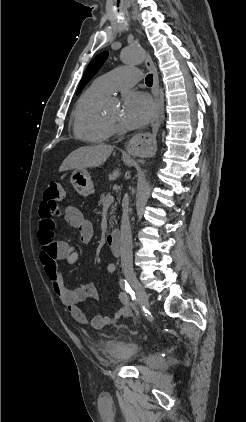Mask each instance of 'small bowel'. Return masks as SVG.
Masks as SVG:
<instances>
[{"instance_id": "obj_1", "label": "small bowel", "mask_w": 246, "mask_h": 422, "mask_svg": "<svg viewBox=\"0 0 246 422\" xmlns=\"http://www.w3.org/2000/svg\"><path fill=\"white\" fill-rule=\"evenodd\" d=\"M39 215L38 240L41 246V261L53 291L72 318L95 329H102L113 324L119 318L128 317L132 306L128 295L124 291H120L118 294L120 308L116 312L111 315H95L88 319L80 309L79 304L87 299H98L97 288L92 283H83L74 289H69L63 283L58 262L64 260L69 265H73L78 261L79 255L68 242L55 239L56 224L54 218L62 215L70 226L78 230L80 240L83 243H88L93 237L94 230L92 224L85 218L83 213L72 206L67 207L61 213V210H53L42 203ZM115 269L113 263H108L106 266L107 273L110 275L114 274Z\"/></svg>"}]
</instances>
